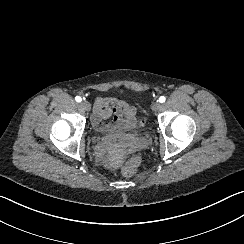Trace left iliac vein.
<instances>
[{
  "mask_svg": "<svg viewBox=\"0 0 244 244\" xmlns=\"http://www.w3.org/2000/svg\"><path fill=\"white\" fill-rule=\"evenodd\" d=\"M161 108H162V105H161L159 102H154V103L152 104V107H151V109H152L154 112L159 111Z\"/></svg>",
  "mask_w": 244,
  "mask_h": 244,
  "instance_id": "obj_1",
  "label": "left iliac vein"
}]
</instances>
